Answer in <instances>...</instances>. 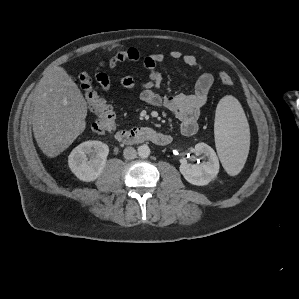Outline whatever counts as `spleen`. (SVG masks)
I'll return each instance as SVG.
<instances>
[{"instance_id":"3e777b00","label":"spleen","mask_w":299,"mask_h":299,"mask_svg":"<svg viewBox=\"0 0 299 299\" xmlns=\"http://www.w3.org/2000/svg\"><path fill=\"white\" fill-rule=\"evenodd\" d=\"M214 134L217 153L224 169L231 176L237 175L248 155L250 133L244 110L235 97L228 95L219 101Z\"/></svg>"}]
</instances>
